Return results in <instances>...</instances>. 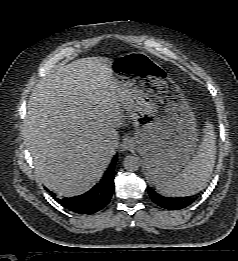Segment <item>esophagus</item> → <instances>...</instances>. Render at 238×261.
<instances>
[{"label": "esophagus", "instance_id": "obj_1", "mask_svg": "<svg viewBox=\"0 0 238 261\" xmlns=\"http://www.w3.org/2000/svg\"><path fill=\"white\" fill-rule=\"evenodd\" d=\"M124 149L125 150H130L134 147V142L133 140L129 139V140H126V142L124 143Z\"/></svg>", "mask_w": 238, "mask_h": 261}]
</instances>
